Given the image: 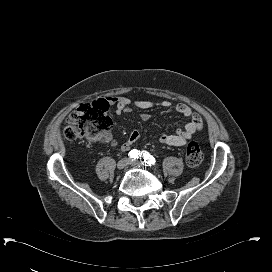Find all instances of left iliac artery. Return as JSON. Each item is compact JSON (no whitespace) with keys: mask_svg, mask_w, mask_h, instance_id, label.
I'll list each match as a JSON object with an SVG mask.
<instances>
[{"mask_svg":"<svg viewBox=\"0 0 272 272\" xmlns=\"http://www.w3.org/2000/svg\"><path fill=\"white\" fill-rule=\"evenodd\" d=\"M141 154H142V153H141ZM142 158H143V162H144L145 164L151 165V164H154V163L156 162L155 158H154L153 156H151V155H150L148 152H146V151L143 153Z\"/></svg>","mask_w":272,"mask_h":272,"instance_id":"left-iliac-artery-1","label":"left iliac artery"}]
</instances>
